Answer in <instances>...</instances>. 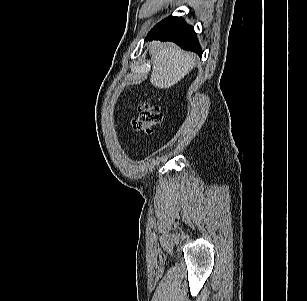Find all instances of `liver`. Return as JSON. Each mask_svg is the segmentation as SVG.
I'll return each instance as SVG.
<instances>
[{
	"label": "liver",
	"instance_id": "6515ba94",
	"mask_svg": "<svg viewBox=\"0 0 307 301\" xmlns=\"http://www.w3.org/2000/svg\"><path fill=\"white\" fill-rule=\"evenodd\" d=\"M150 55L152 56L150 82L160 89L175 85L195 66V57L172 43L152 42Z\"/></svg>",
	"mask_w": 307,
	"mask_h": 301
}]
</instances>
